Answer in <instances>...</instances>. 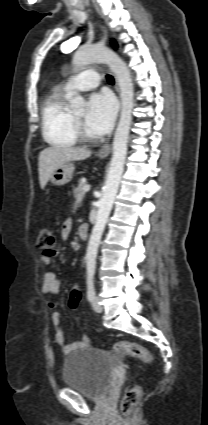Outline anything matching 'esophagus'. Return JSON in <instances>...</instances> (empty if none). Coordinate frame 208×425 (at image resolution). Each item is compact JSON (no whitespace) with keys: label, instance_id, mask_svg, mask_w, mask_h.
<instances>
[{"label":"esophagus","instance_id":"esophagus-1","mask_svg":"<svg viewBox=\"0 0 208 425\" xmlns=\"http://www.w3.org/2000/svg\"><path fill=\"white\" fill-rule=\"evenodd\" d=\"M116 91L119 93V87L118 84L116 83ZM111 152V143H106L97 153V155L99 157H106L110 154Z\"/></svg>","mask_w":208,"mask_h":425}]
</instances>
